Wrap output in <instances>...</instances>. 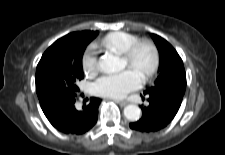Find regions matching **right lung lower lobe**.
I'll list each match as a JSON object with an SVG mask.
<instances>
[{"instance_id": "1", "label": "right lung lower lobe", "mask_w": 225, "mask_h": 155, "mask_svg": "<svg viewBox=\"0 0 225 155\" xmlns=\"http://www.w3.org/2000/svg\"><path fill=\"white\" fill-rule=\"evenodd\" d=\"M74 96L56 97L41 108L49 122L65 134H84L97 122L99 98L92 97L90 103L82 111L76 110Z\"/></svg>"}]
</instances>
